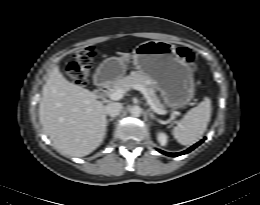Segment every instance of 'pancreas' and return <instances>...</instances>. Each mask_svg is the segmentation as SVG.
<instances>
[{"instance_id": "cf45deb5", "label": "pancreas", "mask_w": 260, "mask_h": 205, "mask_svg": "<svg viewBox=\"0 0 260 205\" xmlns=\"http://www.w3.org/2000/svg\"><path fill=\"white\" fill-rule=\"evenodd\" d=\"M135 84L142 85L144 88H146L149 96L151 97L155 105L161 110L164 109V105L160 102L159 98L155 94V90L151 87V80L139 71H132L130 75L114 82L106 90V94L110 96L113 92H115L118 89H122L125 92H127L132 88V85Z\"/></svg>"}]
</instances>
